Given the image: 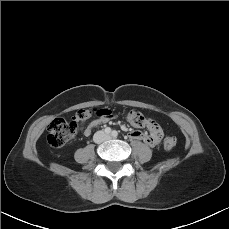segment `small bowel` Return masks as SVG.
I'll use <instances>...</instances> for the list:
<instances>
[{
    "instance_id": "1",
    "label": "small bowel",
    "mask_w": 229,
    "mask_h": 229,
    "mask_svg": "<svg viewBox=\"0 0 229 229\" xmlns=\"http://www.w3.org/2000/svg\"><path fill=\"white\" fill-rule=\"evenodd\" d=\"M111 119L110 114H101L97 119L90 123V125L84 130V134L90 135L91 131L101 124L108 122ZM149 133H143L140 131H132L129 133V137L134 140H141L149 146H155L160 142L162 129L159 124L153 119H147L146 124Z\"/></svg>"
}]
</instances>
